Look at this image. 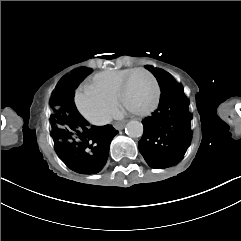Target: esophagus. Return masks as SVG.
<instances>
[{
  "label": "esophagus",
  "mask_w": 241,
  "mask_h": 241,
  "mask_svg": "<svg viewBox=\"0 0 241 241\" xmlns=\"http://www.w3.org/2000/svg\"><path fill=\"white\" fill-rule=\"evenodd\" d=\"M115 129L122 130L125 127L124 123H116L114 124Z\"/></svg>",
  "instance_id": "esophagus-1"
}]
</instances>
